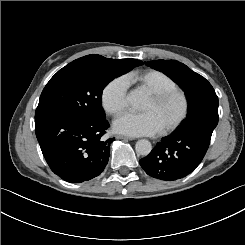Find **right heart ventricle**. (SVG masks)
Segmentation results:
<instances>
[{"instance_id":"1","label":"right heart ventricle","mask_w":245,"mask_h":245,"mask_svg":"<svg viewBox=\"0 0 245 245\" xmlns=\"http://www.w3.org/2000/svg\"><path fill=\"white\" fill-rule=\"evenodd\" d=\"M122 80L127 86L138 89H171L177 88L176 82L162 71L155 69L139 68L123 75Z\"/></svg>"}]
</instances>
